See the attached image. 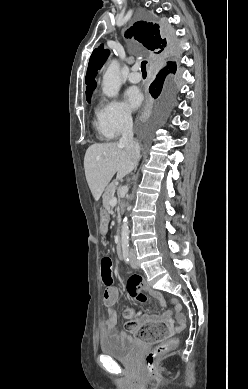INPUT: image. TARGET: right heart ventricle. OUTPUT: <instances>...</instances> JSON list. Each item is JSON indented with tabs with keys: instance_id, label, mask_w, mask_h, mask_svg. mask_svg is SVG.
I'll return each instance as SVG.
<instances>
[{
	"instance_id": "1",
	"label": "right heart ventricle",
	"mask_w": 248,
	"mask_h": 389,
	"mask_svg": "<svg viewBox=\"0 0 248 389\" xmlns=\"http://www.w3.org/2000/svg\"><path fill=\"white\" fill-rule=\"evenodd\" d=\"M93 126L96 130V133H97V136L99 139L109 140V139L113 138V136L109 133V131L107 130V128L105 126L104 119H103L100 108L97 109V111L95 113Z\"/></svg>"
}]
</instances>
